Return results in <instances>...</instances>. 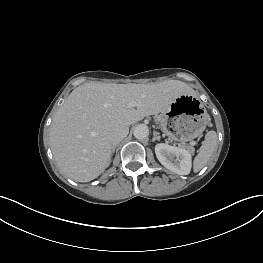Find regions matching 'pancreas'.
<instances>
[{"label": "pancreas", "instance_id": "cf45deb5", "mask_svg": "<svg viewBox=\"0 0 263 263\" xmlns=\"http://www.w3.org/2000/svg\"><path fill=\"white\" fill-rule=\"evenodd\" d=\"M188 149L191 151V152H194V148L192 146H189Z\"/></svg>", "mask_w": 263, "mask_h": 263}]
</instances>
